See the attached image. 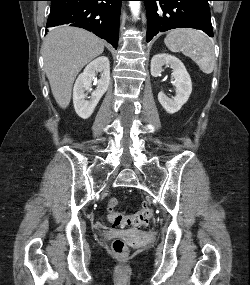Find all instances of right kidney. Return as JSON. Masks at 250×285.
I'll return each instance as SVG.
<instances>
[{
    "label": "right kidney",
    "mask_w": 250,
    "mask_h": 285,
    "mask_svg": "<svg viewBox=\"0 0 250 285\" xmlns=\"http://www.w3.org/2000/svg\"><path fill=\"white\" fill-rule=\"evenodd\" d=\"M100 72V79H96V73ZM92 81H96L97 88L92 92L91 97L85 94L90 90ZM110 84V63L109 59L101 56L90 62L81 73L73 88V104L76 113L82 119H88L94 112L99 100L107 91Z\"/></svg>",
    "instance_id": "1"
}]
</instances>
